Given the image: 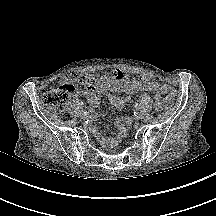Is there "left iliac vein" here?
<instances>
[{
  "mask_svg": "<svg viewBox=\"0 0 216 216\" xmlns=\"http://www.w3.org/2000/svg\"><path fill=\"white\" fill-rule=\"evenodd\" d=\"M135 119H137V120H142V119H144V114L141 113V112H139V113L135 116Z\"/></svg>",
  "mask_w": 216,
  "mask_h": 216,
  "instance_id": "obj_1",
  "label": "left iliac vein"
}]
</instances>
